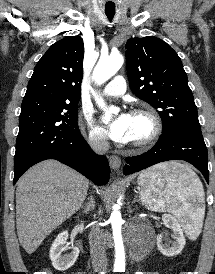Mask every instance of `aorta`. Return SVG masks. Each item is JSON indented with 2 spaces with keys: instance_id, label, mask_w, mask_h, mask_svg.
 Returning a JSON list of instances; mask_svg holds the SVG:
<instances>
[{
  "instance_id": "762f6f07",
  "label": "aorta",
  "mask_w": 215,
  "mask_h": 274,
  "mask_svg": "<svg viewBox=\"0 0 215 274\" xmlns=\"http://www.w3.org/2000/svg\"><path fill=\"white\" fill-rule=\"evenodd\" d=\"M123 56L119 53L111 54L108 57H101L94 68L93 78L97 84H103L110 79L123 65ZM97 104L104 108V121L108 122L111 119V114L117 112V108L105 107V103L101 99H96ZM110 221L113 226L114 244H115V263L114 269L116 272H123L125 269V251L121 235L122 218L119 211V206H114L110 216Z\"/></svg>"
}]
</instances>
